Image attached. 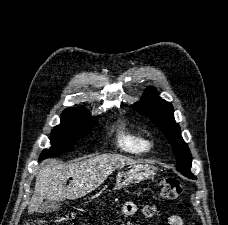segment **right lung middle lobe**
Segmentation results:
<instances>
[{
    "instance_id": "obj_1",
    "label": "right lung middle lobe",
    "mask_w": 228,
    "mask_h": 225,
    "mask_svg": "<svg viewBox=\"0 0 228 225\" xmlns=\"http://www.w3.org/2000/svg\"><path fill=\"white\" fill-rule=\"evenodd\" d=\"M97 118L87 117L81 109H65L61 117V124L52 130V148L45 149L39 160L54 157L70 150L79 139L97 125Z\"/></svg>"
}]
</instances>
